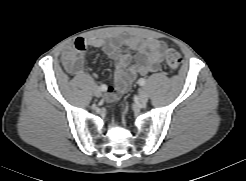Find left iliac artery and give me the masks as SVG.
Listing matches in <instances>:
<instances>
[{"instance_id": "44dca946", "label": "left iliac artery", "mask_w": 246, "mask_h": 181, "mask_svg": "<svg viewBox=\"0 0 246 181\" xmlns=\"http://www.w3.org/2000/svg\"><path fill=\"white\" fill-rule=\"evenodd\" d=\"M138 84H139L140 86H145L146 80H145L144 78H140V79L138 80Z\"/></svg>"}]
</instances>
